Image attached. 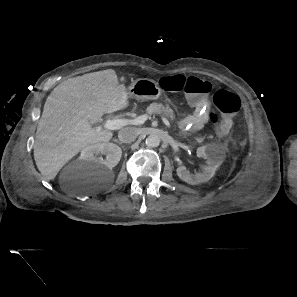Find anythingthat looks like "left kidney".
Masks as SVG:
<instances>
[{
	"mask_svg": "<svg viewBox=\"0 0 297 297\" xmlns=\"http://www.w3.org/2000/svg\"><path fill=\"white\" fill-rule=\"evenodd\" d=\"M196 153L199 158H204L207 163L201 167L202 172L192 174L183 165L176 169L178 177L190 185H197L210 180L222 163V157L211 145L198 147Z\"/></svg>",
	"mask_w": 297,
	"mask_h": 297,
	"instance_id": "obj_1",
	"label": "left kidney"
}]
</instances>
